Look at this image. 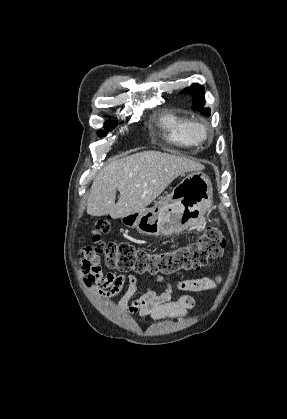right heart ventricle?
<instances>
[{"mask_svg": "<svg viewBox=\"0 0 287 419\" xmlns=\"http://www.w3.org/2000/svg\"><path fill=\"white\" fill-rule=\"evenodd\" d=\"M190 120L172 110H165L158 119V126L163 138L177 146L192 147L195 146L188 135V125Z\"/></svg>", "mask_w": 287, "mask_h": 419, "instance_id": "right-heart-ventricle-1", "label": "right heart ventricle"}]
</instances>
